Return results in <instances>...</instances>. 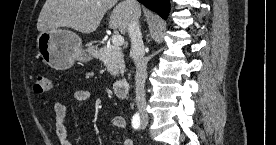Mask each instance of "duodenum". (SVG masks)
<instances>
[{"mask_svg": "<svg viewBox=\"0 0 276 145\" xmlns=\"http://www.w3.org/2000/svg\"><path fill=\"white\" fill-rule=\"evenodd\" d=\"M129 81L126 77H121L113 85V92L119 99H125L128 94Z\"/></svg>", "mask_w": 276, "mask_h": 145, "instance_id": "obj_1", "label": "duodenum"}]
</instances>
